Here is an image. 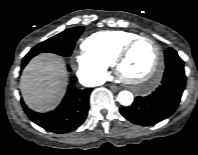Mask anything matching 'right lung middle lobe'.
<instances>
[{
  "mask_svg": "<svg viewBox=\"0 0 198 155\" xmlns=\"http://www.w3.org/2000/svg\"><path fill=\"white\" fill-rule=\"evenodd\" d=\"M83 30V27H73L53 36L31 49L23 60H29L42 52H51L61 56H69L72 53L75 42Z\"/></svg>",
  "mask_w": 198,
  "mask_h": 155,
  "instance_id": "right-lung-middle-lobe-1",
  "label": "right lung middle lobe"
}]
</instances>
